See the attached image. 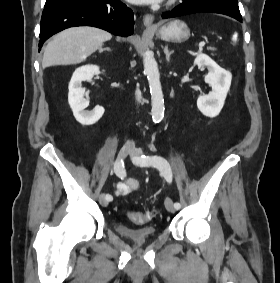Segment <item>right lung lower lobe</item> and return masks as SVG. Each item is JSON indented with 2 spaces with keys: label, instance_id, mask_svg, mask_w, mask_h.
<instances>
[{
  "label": "right lung lower lobe",
  "instance_id": "1",
  "mask_svg": "<svg viewBox=\"0 0 280 283\" xmlns=\"http://www.w3.org/2000/svg\"><path fill=\"white\" fill-rule=\"evenodd\" d=\"M133 11L120 0H61L45 8L41 17L39 50L55 33L75 26H94L115 35L133 34Z\"/></svg>",
  "mask_w": 280,
  "mask_h": 283
}]
</instances>
